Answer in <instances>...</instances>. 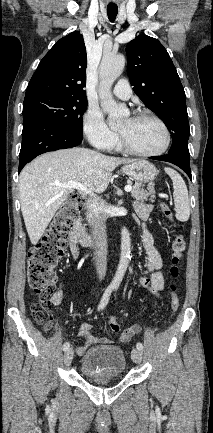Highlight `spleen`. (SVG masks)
Wrapping results in <instances>:
<instances>
[{
	"label": "spleen",
	"instance_id": "spleen-1",
	"mask_svg": "<svg viewBox=\"0 0 213 433\" xmlns=\"http://www.w3.org/2000/svg\"><path fill=\"white\" fill-rule=\"evenodd\" d=\"M165 172L170 176L173 182V198L176 209V218L181 222H185L190 216V203L187 186L182 177L175 170L165 168Z\"/></svg>",
	"mask_w": 213,
	"mask_h": 433
}]
</instances>
